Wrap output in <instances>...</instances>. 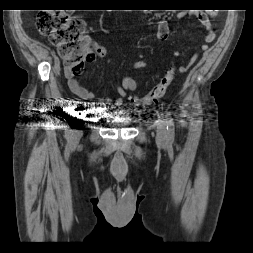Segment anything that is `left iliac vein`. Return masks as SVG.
<instances>
[{
  "mask_svg": "<svg viewBox=\"0 0 253 253\" xmlns=\"http://www.w3.org/2000/svg\"><path fill=\"white\" fill-rule=\"evenodd\" d=\"M156 137L157 140L161 143H164L167 139V131H166V125L164 122H160L157 126L156 130Z\"/></svg>",
  "mask_w": 253,
  "mask_h": 253,
  "instance_id": "1",
  "label": "left iliac vein"
}]
</instances>
